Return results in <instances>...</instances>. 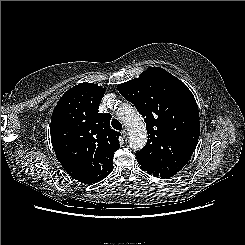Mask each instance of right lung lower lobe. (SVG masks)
Returning <instances> with one entry per match:
<instances>
[{"label": "right lung lower lobe", "mask_w": 245, "mask_h": 245, "mask_svg": "<svg viewBox=\"0 0 245 245\" xmlns=\"http://www.w3.org/2000/svg\"><path fill=\"white\" fill-rule=\"evenodd\" d=\"M113 168L110 169L108 172H107V175L106 177L112 172ZM67 173L73 178V179H76L78 181H80V177L79 175L75 172V171H67Z\"/></svg>", "instance_id": "right-lung-lower-lobe-1"}]
</instances>
